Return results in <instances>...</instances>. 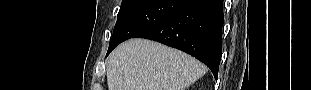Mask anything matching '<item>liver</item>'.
I'll use <instances>...</instances> for the list:
<instances>
[{
  "label": "liver",
  "instance_id": "obj_1",
  "mask_svg": "<svg viewBox=\"0 0 311 90\" xmlns=\"http://www.w3.org/2000/svg\"><path fill=\"white\" fill-rule=\"evenodd\" d=\"M207 68L192 56L160 43L130 39L110 54L109 90H185Z\"/></svg>",
  "mask_w": 311,
  "mask_h": 90
}]
</instances>
